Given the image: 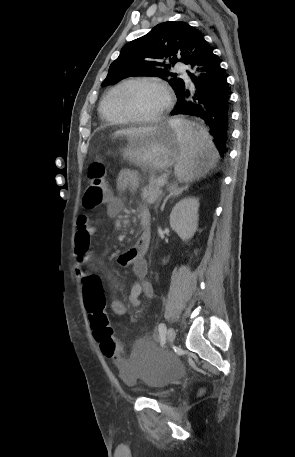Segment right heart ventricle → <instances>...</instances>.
<instances>
[{
  "label": "right heart ventricle",
  "mask_w": 295,
  "mask_h": 457,
  "mask_svg": "<svg viewBox=\"0 0 295 457\" xmlns=\"http://www.w3.org/2000/svg\"><path fill=\"white\" fill-rule=\"evenodd\" d=\"M129 81H122L112 86L103 96L100 105L99 113L101 117L114 125L127 124L131 122L118 109L116 104V95L121 87Z\"/></svg>",
  "instance_id": "right-heart-ventricle-1"
}]
</instances>
